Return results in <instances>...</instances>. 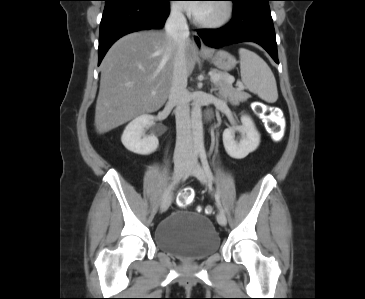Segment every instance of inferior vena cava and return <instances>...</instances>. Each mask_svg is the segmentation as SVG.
Wrapping results in <instances>:
<instances>
[{
  "label": "inferior vena cava",
  "instance_id": "1",
  "mask_svg": "<svg viewBox=\"0 0 365 299\" xmlns=\"http://www.w3.org/2000/svg\"><path fill=\"white\" fill-rule=\"evenodd\" d=\"M166 33L176 45L172 84L169 92V102L173 103L176 118V147L174 158H186L192 153V131L190 120L189 93L187 87V67L185 59V46L189 39V29L182 11L176 7L165 24Z\"/></svg>",
  "mask_w": 365,
  "mask_h": 299
}]
</instances>
